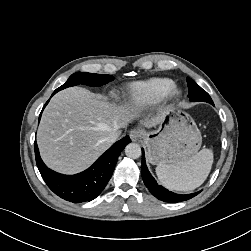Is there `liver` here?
<instances>
[{"mask_svg": "<svg viewBox=\"0 0 251 251\" xmlns=\"http://www.w3.org/2000/svg\"><path fill=\"white\" fill-rule=\"evenodd\" d=\"M139 107L109 103L102 96L82 87L58 92L45 108L37 132L43 161L50 168L66 174L88 168L112 143V131L125 128L139 117ZM165 112L146 118V128L160 124Z\"/></svg>", "mask_w": 251, "mask_h": 251, "instance_id": "1", "label": "liver"}]
</instances>
